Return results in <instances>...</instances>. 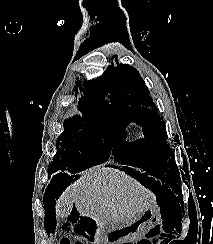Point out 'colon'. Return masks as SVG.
Wrapping results in <instances>:
<instances>
[{"mask_svg":"<svg viewBox=\"0 0 213 244\" xmlns=\"http://www.w3.org/2000/svg\"><path fill=\"white\" fill-rule=\"evenodd\" d=\"M55 244H84V243L83 242H72L71 240H69L67 238H63Z\"/></svg>","mask_w":213,"mask_h":244,"instance_id":"1","label":"colon"}]
</instances>
